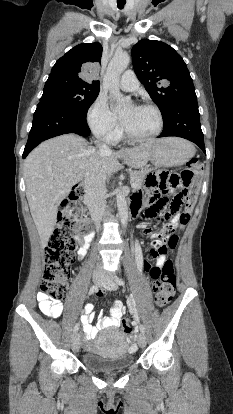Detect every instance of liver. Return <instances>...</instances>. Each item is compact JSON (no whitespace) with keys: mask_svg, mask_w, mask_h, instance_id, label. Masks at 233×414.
<instances>
[{"mask_svg":"<svg viewBox=\"0 0 233 414\" xmlns=\"http://www.w3.org/2000/svg\"><path fill=\"white\" fill-rule=\"evenodd\" d=\"M154 142L111 153H101L75 134H64L37 146L25 159L24 179L30 212L43 247L57 221L58 207L72 187L85 177L94 157L106 175L122 168L119 159L133 168L148 162Z\"/></svg>","mask_w":233,"mask_h":414,"instance_id":"6515ba94","label":"liver"}]
</instances>
